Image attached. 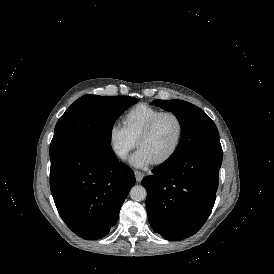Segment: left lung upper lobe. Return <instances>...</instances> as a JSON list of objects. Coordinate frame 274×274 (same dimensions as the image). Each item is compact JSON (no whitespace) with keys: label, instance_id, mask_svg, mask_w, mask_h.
<instances>
[{"label":"left lung upper lobe","instance_id":"5c2ea615","mask_svg":"<svg viewBox=\"0 0 274 274\" xmlns=\"http://www.w3.org/2000/svg\"><path fill=\"white\" fill-rule=\"evenodd\" d=\"M152 104L173 112L182 129L180 142L166 161L178 159L200 148L221 146L216 125L197 106L182 100H154Z\"/></svg>","mask_w":274,"mask_h":274}]
</instances>
